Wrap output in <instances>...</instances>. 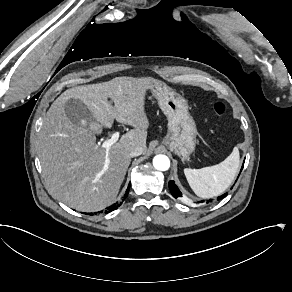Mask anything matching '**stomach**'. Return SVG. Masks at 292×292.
<instances>
[{
    "mask_svg": "<svg viewBox=\"0 0 292 292\" xmlns=\"http://www.w3.org/2000/svg\"><path fill=\"white\" fill-rule=\"evenodd\" d=\"M150 89L168 119V132L163 143L182 160L188 159L195 150L197 129L188 111L187 101L170 91L162 81H157Z\"/></svg>",
    "mask_w": 292,
    "mask_h": 292,
    "instance_id": "0dacf381",
    "label": "stomach"
}]
</instances>
